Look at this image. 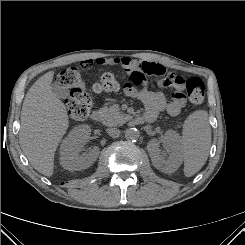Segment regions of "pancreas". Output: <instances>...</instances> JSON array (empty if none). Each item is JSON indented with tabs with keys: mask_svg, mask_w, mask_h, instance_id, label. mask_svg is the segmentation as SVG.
Here are the masks:
<instances>
[{
	"mask_svg": "<svg viewBox=\"0 0 245 245\" xmlns=\"http://www.w3.org/2000/svg\"><path fill=\"white\" fill-rule=\"evenodd\" d=\"M102 123L106 126H118L125 122L126 116L120 111L117 105L104 107L99 111Z\"/></svg>",
	"mask_w": 245,
	"mask_h": 245,
	"instance_id": "1",
	"label": "pancreas"
}]
</instances>
